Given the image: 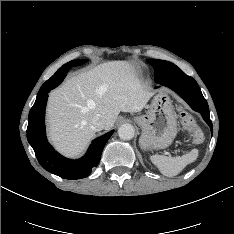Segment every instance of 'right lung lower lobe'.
Instances as JSON below:
<instances>
[{"label":"right lung lower lobe","instance_id":"98d812e1","mask_svg":"<svg viewBox=\"0 0 234 234\" xmlns=\"http://www.w3.org/2000/svg\"><path fill=\"white\" fill-rule=\"evenodd\" d=\"M70 68L62 66L40 88L28 116L27 139L45 170L65 179H81L90 175L92 168L98 165L102 150L114 131L95 139L85 156L78 160L66 159L48 143L44 123L48 93L63 81Z\"/></svg>","mask_w":234,"mask_h":234}]
</instances>
